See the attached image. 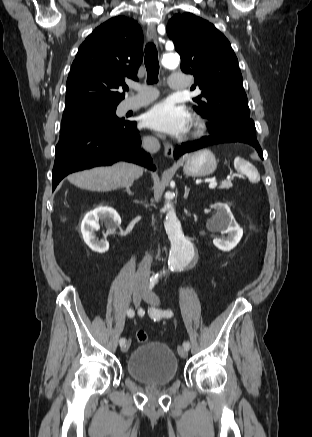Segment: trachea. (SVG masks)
<instances>
[{
  "label": "trachea",
  "instance_id": "3493384b",
  "mask_svg": "<svg viewBox=\"0 0 312 437\" xmlns=\"http://www.w3.org/2000/svg\"><path fill=\"white\" fill-rule=\"evenodd\" d=\"M144 63L147 69V83H157L159 73V61L157 49L153 42H149L145 46ZM126 90L128 91V88H126Z\"/></svg>",
  "mask_w": 312,
  "mask_h": 437
}]
</instances>
